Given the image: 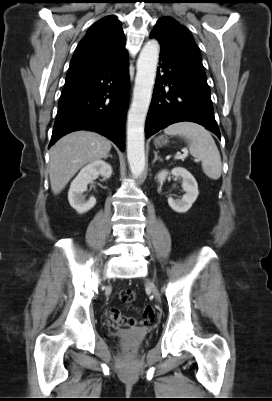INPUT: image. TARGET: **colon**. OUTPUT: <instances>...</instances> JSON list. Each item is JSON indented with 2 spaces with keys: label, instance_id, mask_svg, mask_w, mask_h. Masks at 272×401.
I'll return each mask as SVG.
<instances>
[{
  "label": "colon",
  "instance_id": "obj_1",
  "mask_svg": "<svg viewBox=\"0 0 272 401\" xmlns=\"http://www.w3.org/2000/svg\"><path fill=\"white\" fill-rule=\"evenodd\" d=\"M120 298L124 303H132L135 300V294L130 289L122 290ZM112 322L119 327H135L138 325H148L155 319V310L151 305H146L144 308L143 317L136 319L133 317L124 316L118 309L112 308L109 313Z\"/></svg>",
  "mask_w": 272,
  "mask_h": 401
}]
</instances>
